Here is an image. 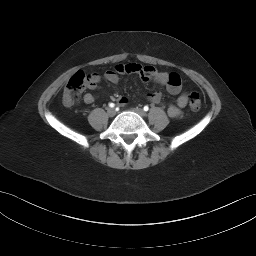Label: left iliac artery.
Instances as JSON below:
<instances>
[{"mask_svg":"<svg viewBox=\"0 0 256 256\" xmlns=\"http://www.w3.org/2000/svg\"><path fill=\"white\" fill-rule=\"evenodd\" d=\"M144 111H148L149 110V107L146 105V106H144Z\"/></svg>","mask_w":256,"mask_h":256,"instance_id":"44dca946","label":"left iliac artery"}]
</instances>
